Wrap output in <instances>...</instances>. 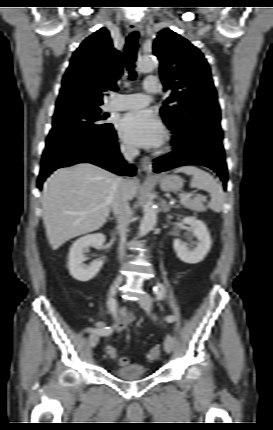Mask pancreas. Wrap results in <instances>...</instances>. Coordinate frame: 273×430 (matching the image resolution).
I'll use <instances>...</instances> for the list:
<instances>
[{"label": "pancreas", "mask_w": 273, "mask_h": 430, "mask_svg": "<svg viewBox=\"0 0 273 430\" xmlns=\"http://www.w3.org/2000/svg\"><path fill=\"white\" fill-rule=\"evenodd\" d=\"M181 204L190 210L196 212H204L206 211V207L203 205V198H194V199H186L181 201Z\"/></svg>", "instance_id": "obj_1"}]
</instances>
